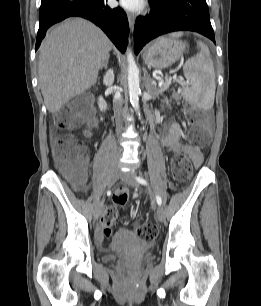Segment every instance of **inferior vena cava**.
I'll list each match as a JSON object with an SVG mask.
<instances>
[{"label": "inferior vena cava", "mask_w": 261, "mask_h": 306, "mask_svg": "<svg viewBox=\"0 0 261 306\" xmlns=\"http://www.w3.org/2000/svg\"><path fill=\"white\" fill-rule=\"evenodd\" d=\"M114 107H115L117 127L120 129L122 128L123 125L122 114L124 112L123 101L120 94H118V96L114 98Z\"/></svg>", "instance_id": "602c4592"}]
</instances>
